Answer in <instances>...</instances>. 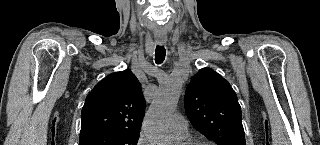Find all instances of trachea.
<instances>
[{"label":"trachea","instance_id":"trachea-1","mask_svg":"<svg viewBox=\"0 0 320 145\" xmlns=\"http://www.w3.org/2000/svg\"><path fill=\"white\" fill-rule=\"evenodd\" d=\"M165 55H166V50H165L164 46L157 45L156 50H155L156 64H161L165 59Z\"/></svg>","mask_w":320,"mask_h":145}]
</instances>
